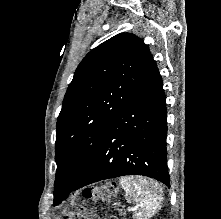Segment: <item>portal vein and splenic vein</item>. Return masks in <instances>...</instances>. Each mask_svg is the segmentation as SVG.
<instances>
[{"mask_svg": "<svg viewBox=\"0 0 221 219\" xmlns=\"http://www.w3.org/2000/svg\"><path fill=\"white\" fill-rule=\"evenodd\" d=\"M128 210H129V211H134L135 209H134V208L129 207V208H128Z\"/></svg>", "mask_w": 221, "mask_h": 219, "instance_id": "18ae733b", "label": "portal vein and splenic vein"}]
</instances>
